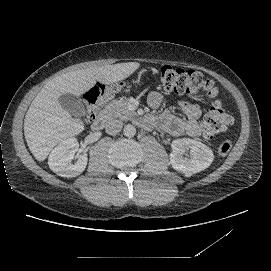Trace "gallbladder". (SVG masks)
Listing matches in <instances>:
<instances>
[{"label": "gallbladder", "instance_id": "obj_1", "mask_svg": "<svg viewBox=\"0 0 271 271\" xmlns=\"http://www.w3.org/2000/svg\"><path fill=\"white\" fill-rule=\"evenodd\" d=\"M59 102L64 110L75 117H81L86 114L82 100L77 96L67 93L59 98Z\"/></svg>", "mask_w": 271, "mask_h": 271}]
</instances>
